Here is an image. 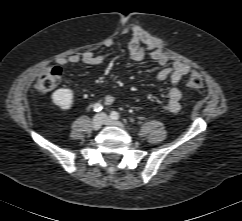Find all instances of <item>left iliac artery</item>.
Here are the masks:
<instances>
[{
	"mask_svg": "<svg viewBox=\"0 0 242 221\" xmlns=\"http://www.w3.org/2000/svg\"><path fill=\"white\" fill-rule=\"evenodd\" d=\"M110 117L114 120L120 119V115L116 111L111 112Z\"/></svg>",
	"mask_w": 242,
	"mask_h": 221,
	"instance_id": "1",
	"label": "left iliac artery"
}]
</instances>
